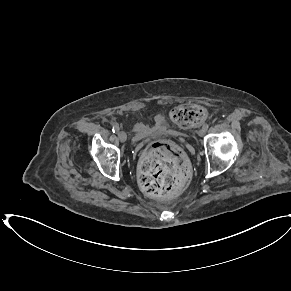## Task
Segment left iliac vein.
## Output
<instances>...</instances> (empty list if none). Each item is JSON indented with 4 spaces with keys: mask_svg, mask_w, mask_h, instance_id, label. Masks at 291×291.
Segmentation results:
<instances>
[{
    "mask_svg": "<svg viewBox=\"0 0 291 291\" xmlns=\"http://www.w3.org/2000/svg\"><path fill=\"white\" fill-rule=\"evenodd\" d=\"M198 135L200 136V137H202L203 135H204V133H205V130L203 129V128H201V129H199L198 130Z\"/></svg>",
    "mask_w": 291,
    "mask_h": 291,
    "instance_id": "1",
    "label": "left iliac vein"
}]
</instances>
